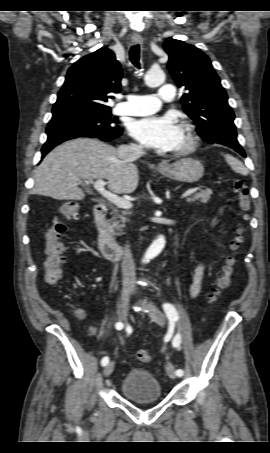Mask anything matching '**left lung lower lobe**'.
<instances>
[{"mask_svg":"<svg viewBox=\"0 0 270 453\" xmlns=\"http://www.w3.org/2000/svg\"><path fill=\"white\" fill-rule=\"evenodd\" d=\"M228 147L234 149L239 154H241L243 157H245V152H244L243 148L239 144L230 145Z\"/></svg>","mask_w":270,"mask_h":453,"instance_id":"0a47b994","label":"left lung lower lobe"}]
</instances>
